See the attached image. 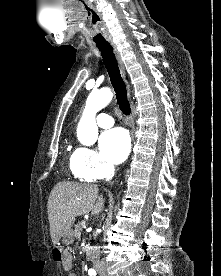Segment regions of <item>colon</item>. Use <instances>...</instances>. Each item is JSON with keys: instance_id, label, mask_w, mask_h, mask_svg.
Returning <instances> with one entry per match:
<instances>
[{"instance_id": "1", "label": "colon", "mask_w": 221, "mask_h": 276, "mask_svg": "<svg viewBox=\"0 0 221 276\" xmlns=\"http://www.w3.org/2000/svg\"><path fill=\"white\" fill-rule=\"evenodd\" d=\"M63 251H66V246H53V258L55 261H62L64 257Z\"/></svg>"}]
</instances>
